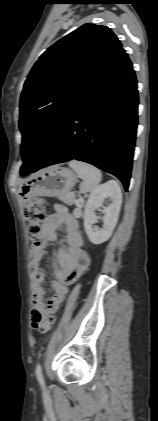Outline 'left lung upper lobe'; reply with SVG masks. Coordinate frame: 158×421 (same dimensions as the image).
<instances>
[{
    "label": "left lung upper lobe",
    "instance_id": "1",
    "mask_svg": "<svg viewBox=\"0 0 158 421\" xmlns=\"http://www.w3.org/2000/svg\"><path fill=\"white\" fill-rule=\"evenodd\" d=\"M122 44L110 28L84 24L38 59L21 94V173L40 161L65 114Z\"/></svg>",
    "mask_w": 158,
    "mask_h": 421
}]
</instances>
